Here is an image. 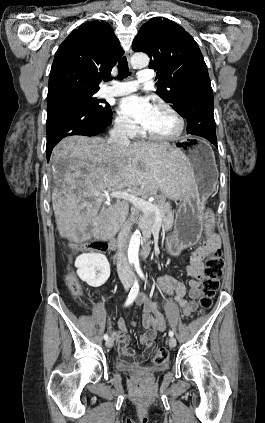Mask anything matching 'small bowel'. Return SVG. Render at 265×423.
<instances>
[{
    "label": "small bowel",
    "mask_w": 265,
    "mask_h": 423,
    "mask_svg": "<svg viewBox=\"0 0 265 423\" xmlns=\"http://www.w3.org/2000/svg\"><path fill=\"white\" fill-rule=\"evenodd\" d=\"M219 247V236L214 232H208L205 244L196 249L187 267V273L191 277L188 281V289L183 282L172 276H162L157 279L156 284L160 292L172 297L182 307L186 317L191 316L197 308L196 299L200 295V285L204 277V258ZM135 303L142 308V331L139 341L144 347L143 352L138 354L129 347L128 327L123 318L117 319L119 330L113 331L112 335L119 344L121 358L126 362L133 359L134 363L139 364L150 355L154 347V340L159 332L165 330L166 323L159 305L146 294H140ZM132 325L135 324L132 323Z\"/></svg>",
    "instance_id": "1"
}]
</instances>
